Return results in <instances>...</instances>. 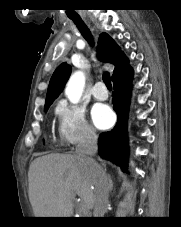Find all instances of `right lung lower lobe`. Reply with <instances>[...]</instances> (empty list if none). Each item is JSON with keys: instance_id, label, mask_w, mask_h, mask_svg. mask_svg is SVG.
<instances>
[{"instance_id": "obj_1", "label": "right lung lower lobe", "mask_w": 181, "mask_h": 227, "mask_svg": "<svg viewBox=\"0 0 181 227\" xmlns=\"http://www.w3.org/2000/svg\"><path fill=\"white\" fill-rule=\"evenodd\" d=\"M132 74L128 59L125 58L121 67L112 76L114 83L113 109L117 114V123L111 131L102 133L98 142L100 156L111 160L124 171L127 168V117Z\"/></svg>"}]
</instances>
